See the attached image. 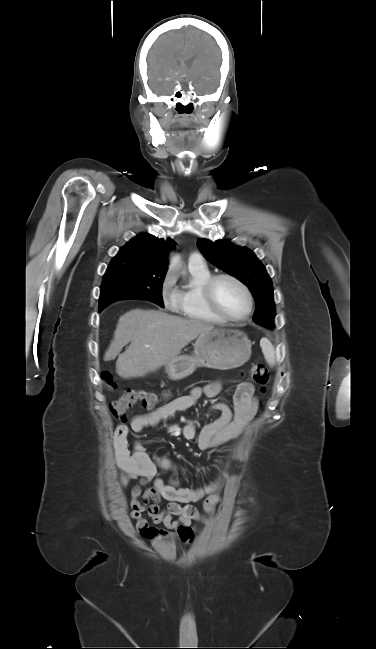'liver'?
<instances>
[{"label": "liver", "instance_id": "1", "mask_svg": "<svg viewBox=\"0 0 376 649\" xmlns=\"http://www.w3.org/2000/svg\"><path fill=\"white\" fill-rule=\"evenodd\" d=\"M214 326L183 319L160 310L134 309L122 315L104 361H116V373L124 379L142 377L178 356L200 333ZM130 342L123 354L122 348Z\"/></svg>", "mask_w": 376, "mask_h": 649}]
</instances>
